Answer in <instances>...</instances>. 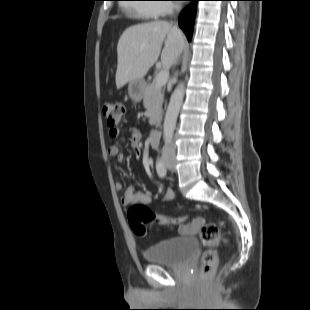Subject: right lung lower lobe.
Segmentation results:
<instances>
[{"label":"right lung lower lobe","instance_id":"1","mask_svg":"<svg viewBox=\"0 0 310 310\" xmlns=\"http://www.w3.org/2000/svg\"><path fill=\"white\" fill-rule=\"evenodd\" d=\"M190 1L191 3L179 15V26L186 34L188 41H191L193 34L198 0Z\"/></svg>","mask_w":310,"mask_h":310}]
</instances>
